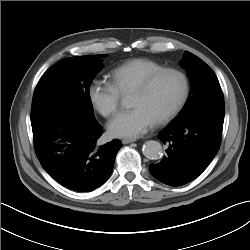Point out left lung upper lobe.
<instances>
[{
    "label": "left lung upper lobe",
    "instance_id": "left-lung-upper-lobe-1",
    "mask_svg": "<svg viewBox=\"0 0 250 250\" xmlns=\"http://www.w3.org/2000/svg\"><path fill=\"white\" fill-rule=\"evenodd\" d=\"M180 65L189 73L191 90L183 110L174 121L181 120L214 103L224 102L219 81L204 61L185 51Z\"/></svg>",
    "mask_w": 250,
    "mask_h": 250
}]
</instances>
